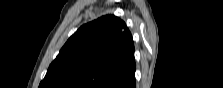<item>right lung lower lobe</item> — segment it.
Listing matches in <instances>:
<instances>
[{
  "label": "right lung lower lobe",
  "mask_w": 223,
  "mask_h": 88,
  "mask_svg": "<svg viewBox=\"0 0 223 88\" xmlns=\"http://www.w3.org/2000/svg\"><path fill=\"white\" fill-rule=\"evenodd\" d=\"M131 88H135V74H134V79H133V81L131 82Z\"/></svg>",
  "instance_id": "1"
}]
</instances>
